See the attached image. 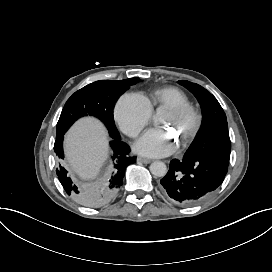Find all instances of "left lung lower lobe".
Here are the masks:
<instances>
[{"instance_id":"left-lung-lower-lobe-1","label":"left lung lower lobe","mask_w":272,"mask_h":272,"mask_svg":"<svg viewBox=\"0 0 272 272\" xmlns=\"http://www.w3.org/2000/svg\"><path fill=\"white\" fill-rule=\"evenodd\" d=\"M229 160L218 156H184L173 160L160 180V191L179 206H191L214 191L224 180Z\"/></svg>"}]
</instances>
